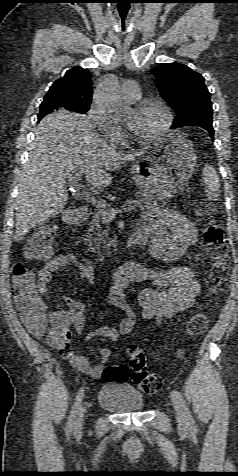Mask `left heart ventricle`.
Returning a JSON list of instances; mask_svg holds the SVG:
<instances>
[{"instance_id":"b2bd125f","label":"left heart ventricle","mask_w":238,"mask_h":476,"mask_svg":"<svg viewBox=\"0 0 238 476\" xmlns=\"http://www.w3.org/2000/svg\"><path fill=\"white\" fill-rule=\"evenodd\" d=\"M125 121L134 133L146 136L161 127L164 122V114L160 108L149 106L140 111L131 110Z\"/></svg>"}]
</instances>
